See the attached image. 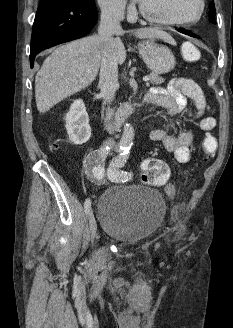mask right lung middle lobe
<instances>
[{
	"instance_id": "obj_1",
	"label": "right lung middle lobe",
	"mask_w": 233,
	"mask_h": 328,
	"mask_svg": "<svg viewBox=\"0 0 233 328\" xmlns=\"http://www.w3.org/2000/svg\"><path fill=\"white\" fill-rule=\"evenodd\" d=\"M77 1L92 3L94 0H77Z\"/></svg>"
}]
</instances>
